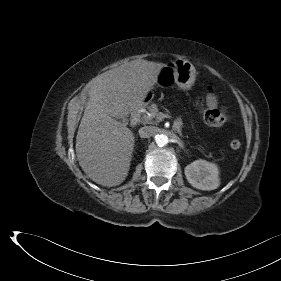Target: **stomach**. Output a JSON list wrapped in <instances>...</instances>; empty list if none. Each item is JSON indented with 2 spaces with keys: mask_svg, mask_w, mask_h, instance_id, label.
<instances>
[{
  "mask_svg": "<svg viewBox=\"0 0 281 281\" xmlns=\"http://www.w3.org/2000/svg\"><path fill=\"white\" fill-rule=\"evenodd\" d=\"M196 70L185 60L178 61L174 66H166L160 74V83L163 81L174 82L179 88L187 90L195 82Z\"/></svg>",
  "mask_w": 281,
  "mask_h": 281,
  "instance_id": "stomach-1",
  "label": "stomach"
}]
</instances>
